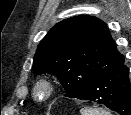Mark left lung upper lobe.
<instances>
[{"mask_svg":"<svg viewBox=\"0 0 131 115\" xmlns=\"http://www.w3.org/2000/svg\"><path fill=\"white\" fill-rule=\"evenodd\" d=\"M104 22L76 16L57 23L38 45L33 70L51 73L76 98L96 77L123 59Z\"/></svg>","mask_w":131,"mask_h":115,"instance_id":"1","label":"left lung upper lobe"}]
</instances>
